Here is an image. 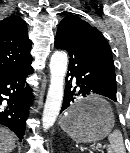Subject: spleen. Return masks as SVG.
<instances>
[{"mask_svg":"<svg viewBox=\"0 0 130 153\" xmlns=\"http://www.w3.org/2000/svg\"><path fill=\"white\" fill-rule=\"evenodd\" d=\"M108 140L110 142L108 153H126L123 137L119 130L116 129L109 134Z\"/></svg>","mask_w":130,"mask_h":153,"instance_id":"obj_1","label":"spleen"}]
</instances>
